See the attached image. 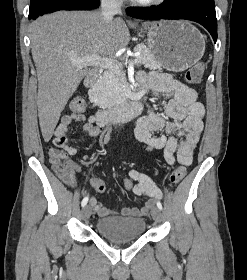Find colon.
<instances>
[{"instance_id": "obj_1", "label": "colon", "mask_w": 247, "mask_h": 280, "mask_svg": "<svg viewBox=\"0 0 247 280\" xmlns=\"http://www.w3.org/2000/svg\"><path fill=\"white\" fill-rule=\"evenodd\" d=\"M205 71V63L199 61L195 63L185 75V79L190 84H197L201 81ZM71 111L76 115H82L86 111V103L82 98H75L70 103ZM147 150L151 149L150 145L146 146ZM48 154L53 169L61 179H69L72 176L73 164L68 160L66 151L58 146H49ZM187 169L185 166H178L170 175V185L175 187L186 176ZM122 186L130 190L133 181L129 176H122L120 179Z\"/></svg>"}]
</instances>
